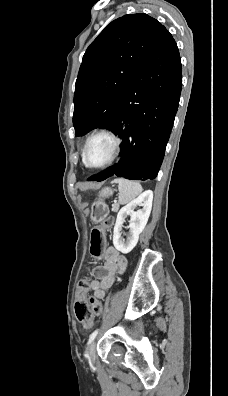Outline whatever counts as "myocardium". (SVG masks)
I'll list each match as a JSON object with an SVG mask.
<instances>
[{
	"instance_id": "myocardium-1",
	"label": "myocardium",
	"mask_w": 228,
	"mask_h": 396,
	"mask_svg": "<svg viewBox=\"0 0 228 396\" xmlns=\"http://www.w3.org/2000/svg\"><path fill=\"white\" fill-rule=\"evenodd\" d=\"M97 136H106V137H108L112 141V151H111V154H110L109 158L104 163L98 164V165H93V164H90L88 162L87 149H88L90 141L93 138L97 137ZM120 146H121L120 138L116 135L115 132H113L111 129H108V128L98 129V130L92 132L87 137V139L85 141V144H84V147H83V151H82L83 162L90 169H102V168H105V167L111 165L115 161V159L118 156V153H119V150H120Z\"/></svg>"
}]
</instances>
